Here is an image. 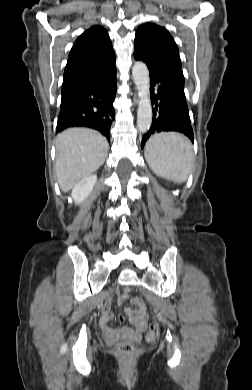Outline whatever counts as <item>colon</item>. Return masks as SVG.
Instances as JSON below:
<instances>
[{"label":"colon","mask_w":252,"mask_h":390,"mask_svg":"<svg viewBox=\"0 0 252 390\" xmlns=\"http://www.w3.org/2000/svg\"><path fill=\"white\" fill-rule=\"evenodd\" d=\"M129 293H130L129 289L125 288L124 295L128 296ZM152 329H153V326H151V330ZM136 350H137V344L135 342H130V341L120 343L116 347L117 354L123 359H128V358L132 357L135 354Z\"/></svg>","instance_id":"colon-1"}]
</instances>
